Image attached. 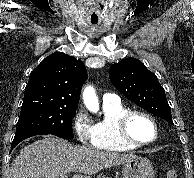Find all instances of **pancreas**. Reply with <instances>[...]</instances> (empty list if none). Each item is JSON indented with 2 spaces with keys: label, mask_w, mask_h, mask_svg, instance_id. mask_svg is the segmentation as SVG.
Instances as JSON below:
<instances>
[{
  "label": "pancreas",
  "mask_w": 194,
  "mask_h": 178,
  "mask_svg": "<svg viewBox=\"0 0 194 178\" xmlns=\"http://www.w3.org/2000/svg\"><path fill=\"white\" fill-rule=\"evenodd\" d=\"M102 178H110V177H107V176H103Z\"/></svg>",
  "instance_id": "pancreas-1"
}]
</instances>
